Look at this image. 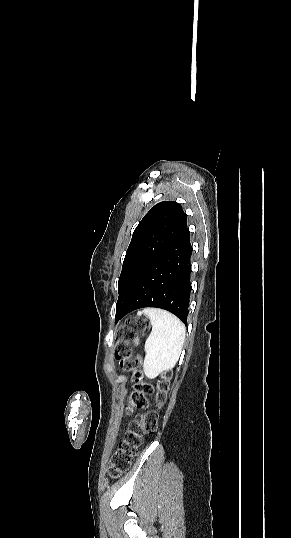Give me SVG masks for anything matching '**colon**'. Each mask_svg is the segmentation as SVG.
Returning <instances> with one entry per match:
<instances>
[{"instance_id": "obj_1", "label": "colon", "mask_w": 291, "mask_h": 538, "mask_svg": "<svg viewBox=\"0 0 291 538\" xmlns=\"http://www.w3.org/2000/svg\"><path fill=\"white\" fill-rule=\"evenodd\" d=\"M149 323L141 317H131L127 320L126 325L120 330V341L115 350V356L119 360L123 369L132 372L134 381L133 392L130 396L129 412L133 408L143 410L134 416L131 421L123 440L119 443L117 451L112 456L108 472L111 477L117 478L126 472L137 455L141 446L142 439L146 434L154 433L158 425V416L154 411H144L149 406L148 397L154 395L158 405L164 403L169 387V374L162 375L156 389L143 379L141 372L137 369L138 359L132 355L130 341L135 337L136 332H143Z\"/></svg>"}]
</instances>
